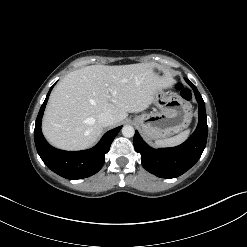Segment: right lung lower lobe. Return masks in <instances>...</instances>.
Masks as SVG:
<instances>
[{"label":"right lung lower lobe","instance_id":"98d812e1","mask_svg":"<svg viewBox=\"0 0 247 247\" xmlns=\"http://www.w3.org/2000/svg\"><path fill=\"white\" fill-rule=\"evenodd\" d=\"M53 86L50 88L36 119L34 140L37 152L49 169L64 178L82 179L89 177L102 168L105 154L109 151L112 141L122 126L105 133L100 142L89 150L71 152L50 146L41 132V121Z\"/></svg>","mask_w":247,"mask_h":247}]
</instances>
